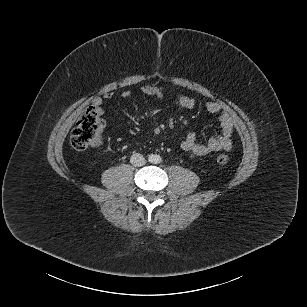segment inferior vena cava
Returning a JSON list of instances; mask_svg holds the SVG:
<instances>
[{"label": "inferior vena cava", "mask_w": 307, "mask_h": 307, "mask_svg": "<svg viewBox=\"0 0 307 307\" xmlns=\"http://www.w3.org/2000/svg\"><path fill=\"white\" fill-rule=\"evenodd\" d=\"M130 162L133 166L135 167H140V166H143L145 165L146 163V160L145 158L143 157L142 154H139V153H135L131 156L130 158Z\"/></svg>", "instance_id": "602c4592"}]
</instances>
